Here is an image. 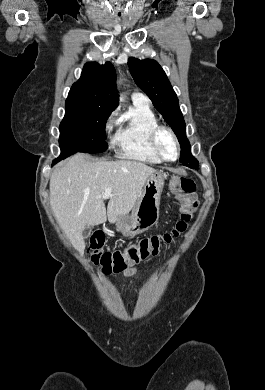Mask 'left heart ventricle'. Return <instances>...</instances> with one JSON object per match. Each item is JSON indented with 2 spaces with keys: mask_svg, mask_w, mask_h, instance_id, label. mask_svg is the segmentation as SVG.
<instances>
[{
  "mask_svg": "<svg viewBox=\"0 0 265 390\" xmlns=\"http://www.w3.org/2000/svg\"><path fill=\"white\" fill-rule=\"evenodd\" d=\"M159 147L167 158L173 159L175 157L176 155L175 143L168 133L163 132L160 134Z\"/></svg>",
  "mask_w": 265,
  "mask_h": 390,
  "instance_id": "b2bd125f",
  "label": "left heart ventricle"
}]
</instances>
